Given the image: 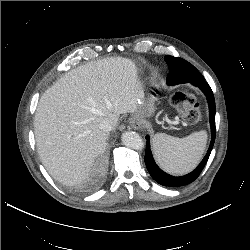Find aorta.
Segmentation results:
<instances>
[{
	"label": "aorta",
	"instance_id": "aorta-1",
	"mask_svg": "<svg viewBox=\"0 0 250 250\" xmlns=\"http://www.w3.org/2000/svg\"><path fill=\"white\" fill-rule=\"evenodd\" d=\"M121 141L125 146L131 149L141 150L144 147V142L140 135L133 131H126L122 133Z\"/></svg>",
	"mask_w": 250,
	"mask_h": 250
}]
</instances>
